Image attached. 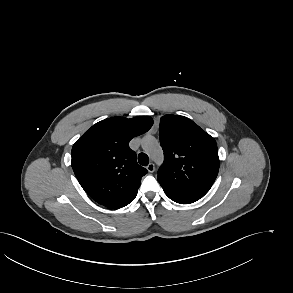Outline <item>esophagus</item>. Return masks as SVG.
I'll return each instance as SVG.
<instances>
[{"mask_svg": "<svg viewBox=\"0 0 293 293\" xmlns=\"http://www.w3.org/2000/svg\"><path fill=\"white\" fill-rule=\"evenodd\" d=\"M147 170L149 173H153L155 170V165L153 163H149L147 166Z\"/></svg>", "mask_w": 293, "mask_h": 293, "instance_id": "esophagus-1", "label": "esophagus"}]
</instances>
